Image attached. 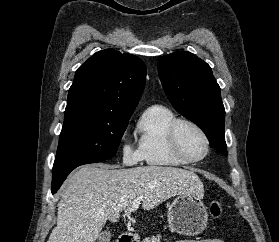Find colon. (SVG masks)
Returning a JSON list of instances; mask_svg holds the SVG:
<instances>
[{
	"instance_id": "1",
	"label": "colon",
	"mask_w": 279,
	"mask_h": 242,
	"mask_svg": "<svg viewBox=\"0 0 279 242\" xmlns=\"http://www.w3.org/2000/svg\"><path fill=\"white\" fill-rule=\"evenodd\" d=\"M209 214L211 218L218 220L223 215V205L219 199L213 200L209 205Z\"/></svg>"
}]
</instances>
